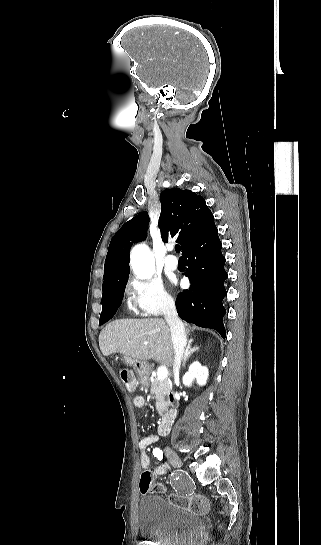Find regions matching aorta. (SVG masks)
<instances>
[{
  "instance_id": "obj_1",
  "label": "aorta",
  "mask_w": 321,
  "mask_h": 545,
  "mask_svg": "<svg viewBox=\"0 0 321 545\" xmlns=\"http://www.w3.org/2000/svg\"><path fill=\"white\" fill-rule=\"evenodd\" d=\"M131 266L137 277L150 278L154 272V258L149 248L140 244L135 246L130 255Z\"/></svg>"
}]
</instances>
